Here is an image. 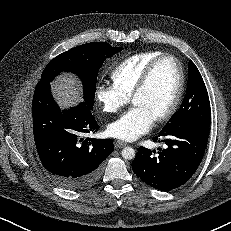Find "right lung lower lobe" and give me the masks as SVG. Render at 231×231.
I'll list each match as a JSON object with an SVG mask.
<instances>
[{
	"label": "right lung lower lobe",
	"mask_w": 231,
	"mask_h": 231,
	"mask_svg": "<svg viewBox=\"0 0 231 231\" xmlns=\"http://www.w3.org/2000/svg\"><path fill=\"white\" fill-rule=\"evenodd\" d=\"M33 134L40 160L49 178L67 190L94 183L103 161L112 153L111 139L83 138L99 129L85 102L61 110L50 91V82L39 81L32 103Z\"/></svg>",
	"instance_id": "98d812e1"
}]
</instances>
